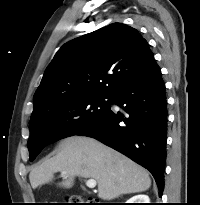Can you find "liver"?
Wrapping results in <instances>:
<instances>
[{
  "instance_id": "6515ba94",
  "label": "liver",
  "mask_w": 200,
  "mask_h": 205,
  "mask_svg": "<svg viewBox=\"0 0 200 205\" xmlns=\"http://www.w3.org/2000/svg\"><path fill=\"white\" fill-rule=\"evenodd\" d=\"M57 148L55 156L31 170L33 189L50 183L56 172H61L65 188L73 186L76 176L96 180L98 197L103 200L143 192L151 186L144 168L97 140L72 136L62 140Z\"/></svg>"
}]
</instances>
